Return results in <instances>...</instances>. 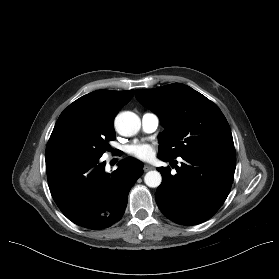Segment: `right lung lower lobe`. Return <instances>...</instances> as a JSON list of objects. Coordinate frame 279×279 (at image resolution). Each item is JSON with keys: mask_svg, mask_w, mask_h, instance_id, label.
Instances as JSON below:
<instances>
[{"mask_svg": "<svg viewBox=\"0 0 279 279\" xmlns=\"http://www.w3.org/2000/svg\"><path fill=\"white\" fill-rule=\"evenodd\" d=\"M99 158L62 160L46 164L51 195L62 213L75 224L103 229L119 221L128 193L143 174V164L128 157L112 173Z\"/></svg>", "mask_w": 279, "mask_h": 279, "instance_id": "98d812e1", "label": "right lung lower lobe"}]
</instances>
